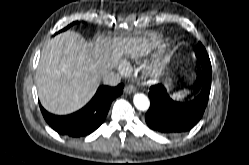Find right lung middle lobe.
<instances>
[{"mask_svg": "<svg viewBox=\"0 0 249 165\" xmlns=\"http://www.w3.org/2000/svg\"><path fill=\"white\" fill-rule=\"evenodd\" d=\"M77 22H73V23H71L70 25H68L67 27H65L64 29H62L60 32H62V31H65V30H67V29H69L71 26H73L74 24H76Z\"/></svg>", "mask_w": 249, "mask_h": 165, "instance_id": "1", "label": "right lung middle lobe"}]
</instances>
